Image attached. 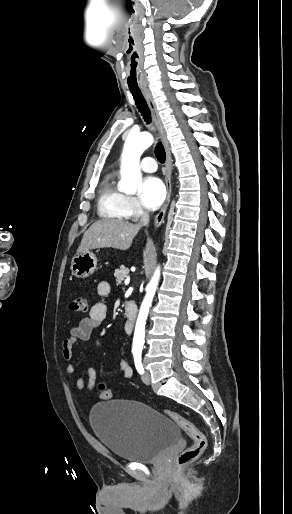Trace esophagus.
<instances>
[{
	"label": "esophagus",
	"instance_id": "obj_1",
	"mask_svg": "<svg viewBox=\"0 0 292 514\" xmlns=\"http://www.w3.org/2000/svg\"><path fill=\"white\" fill-rule=\"evenodd\" d=\"M141 92L148 104V107L151 111L153 120L155 122V125L157 129L159 130L165 152H166V163H165V182H166V188H167V197L166 200L160 210V212L156 215L154 220V227L157 229L162 222L164 221V217L166 214V209L170 202V195H171V173H172V161H171V152H170V144L167 139V134L165 132V129L163 127L160 115L158 113L157 107L155 105L154 99L151 96V93L149 90L141 89Z\"/></svg>",
	"mask_w": 292,
	"mask_h": 514
}]
</instances>
